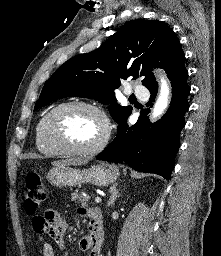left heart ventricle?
Listing matches in <instances>:
<instances>
[{
	"label": "left heart ventricle",
	"mask_w": 221,
	"mask_h": 256,
	"mask_svg": "<svg viewBox=\"0 0 221 256\" xmlns=\"http://www.w3.org/2000/svg\"><path fill=\"white\" fill-rule=\"evenodd\" d=\"M51 133L70 146L85 148L100 140L104 133V125L94 112L71 108L56 115L51 125Z\"/></svg>",
	"instance_id": "left-heart-ventricle-1"
}]
</instances>
